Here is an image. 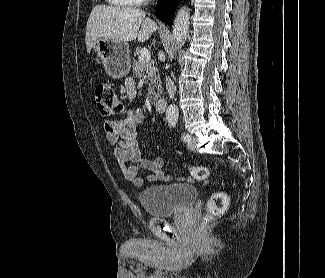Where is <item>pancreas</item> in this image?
I'll return each mask as SVG.
<instances>
[{
  "instance_id": "pancreas-1",
  "label": "pancreas",
  "mask_w": 325,
  "mask_h": 278,
  "mask_svg": "<svg viewBox=\"0 0 325 278\" xmlns=\"http://www.w3.org/2000/svg\"><path fill=\"white\" fill-rule=\"evenodd\" d=\"M157 73L158 69L154 63H143L142 61H137L136 59L133 60L134 77H143L144 79H147V82H150L148 88V93L152 95L149 97L150 101L155 100L162 91L161 79ZM155 89L158 91L157 94L155 93Z\"/></svg>"
}]
</instances>
